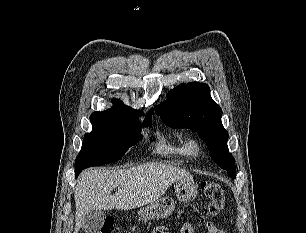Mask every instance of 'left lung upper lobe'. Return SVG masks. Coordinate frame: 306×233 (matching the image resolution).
Returning <instances> with one entry per match:
<instances>
[{"label": "left lung upper lobe", "instance_id": "5c2ea615", "mask_svg": "<svg viewBox=\"0 0 306 233\" xmlns=\"http://www.w3.org/2000/svg\"><path fill=\"white\" fill-rule=\"evenodd\" d=\"M209 92L204 83L181 84L170 90L167 99L155 106V111L168 126L196 131L206 142L211 158L235 178V159L228 152L229 135L221 122L222 110Z\"/></svg>", "mask_w": 306, "mask_h": 233}]
</instances>
